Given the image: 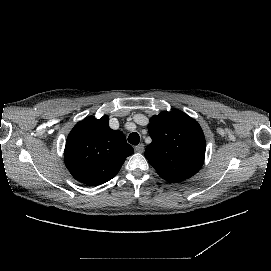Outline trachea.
<instances>
[{
    "mask_svg": "<svg viewBox=\"0 0 271 271\" xmlns=\"http://www.w3.org/2000/svg\"><path fill=\"white\" fill-rule=\"evenodd\" d=\"M128 142L132 145H137L140 142V136L138 133L133 132L128 136Z\"/></svg>",
    "mask_w": 271,
    "mask_h": 271,
    "instance_id": "3493384b",
    "label": "trachea"
}]
</instances>
